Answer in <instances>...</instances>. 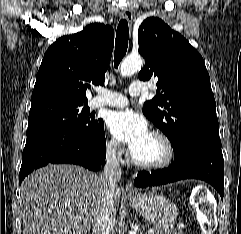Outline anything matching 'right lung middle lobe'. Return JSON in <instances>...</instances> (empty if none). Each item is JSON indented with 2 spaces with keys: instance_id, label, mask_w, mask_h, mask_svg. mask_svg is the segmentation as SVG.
Returning a JSON list of instances; mask_svg holds the SVG:
<instances>
[{
  "instance_id": "right-lung-middle-lobe-1",
  "label": "right lung middle lobe",
  "mask_w": 241,
  "mask_h": 234,
  "mask_svg": "<svg viewBox=\"0 0 241 234\" xmlns=\"http://www.w3.org/2000/svg\"><path fill=\"white\" fill-rule=\"evenodd\" d=\"M102 122V119H94L87 103L48 101L31 105L28 131L64 127L89 134L98 129Z\"/></svg>"
}]
</instances>
